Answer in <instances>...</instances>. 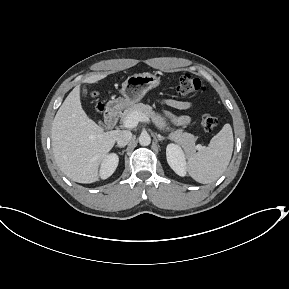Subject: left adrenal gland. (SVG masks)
<instances>
[{"label": "left adrenal gland", "instance_id": "obj_1", "mask_svg": "<svg viewBox=\"0 0 289 289\" xmlns=\"http://www.w3.org/2000/svg\"><path fill=\"white\" fill-rule=\"evenodd\" d=\"M156 136H157V138H158L159 141H163V140H165V139L168 138V137H163V136H161L160 134H157Z\"/></svg>", "mask_w": 289, "mask_h": 289}]
</instances>
